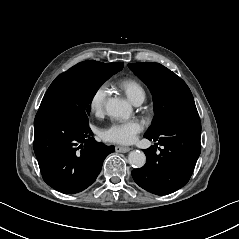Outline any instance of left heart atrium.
Here are the masks:
<instances>
[{"mask_svg": "<svg viewBox=\"0 0 239 239\" xmlns=\"http://www.w3.org/2000/svg\"><path fill=\"white\" fill-rule=\"evenodd\" d=\"M144 129V122L139 118L131 120H118L111 121L101 133L104 140L120 143L132 144L136 141L137 136Z\"/></svg>", "mask_w": 239, "mask_h": 239, "instance_id": "39dd6f15", "label": "left heart atrium"}]
</instances>
